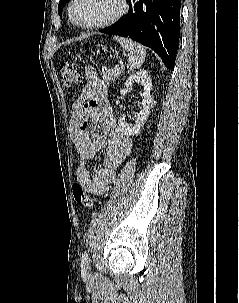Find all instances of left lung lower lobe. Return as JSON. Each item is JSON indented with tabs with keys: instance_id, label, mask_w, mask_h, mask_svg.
Instances as JSON below:
<instances>
[{
	"instance_id": "1",
	"label": "left lung lower lobe",
	"mask_w": 239,
	"mask_h": 303,
	"mask_svg": "<svg viewBox=\"0 0 239 303\" xmlns=\"http://www.w3.org/2000/svg\"><path fill=\"white\" fill-rule=\"evenodd\" d=\"M129 12L102 33L129 37L154 50L174 68L180 35L181 0H129Z\"/></svg>"
}]
</instances>
